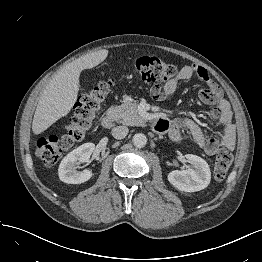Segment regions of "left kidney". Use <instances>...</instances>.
Wrapping results in <instances>:
<instances>
[{"label": "left kidney", "instance_id": "obj_1", "mask_svg": "<svg viewBox=\"0 0 262 262\" xmlns=\"http://www.w3.org/2000/svg\"><path fill=\"white\" fill-rule=\"evenodd\" d=\"M185 158L194 169L174 170L168 174V181L175 188L184 192H196L205 189L211 180V172L207 162L193 154H185Z\"/></svg>", "mask_w": 262, "mask_h": 262}]
</instances>
